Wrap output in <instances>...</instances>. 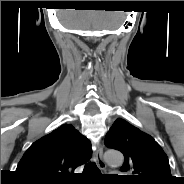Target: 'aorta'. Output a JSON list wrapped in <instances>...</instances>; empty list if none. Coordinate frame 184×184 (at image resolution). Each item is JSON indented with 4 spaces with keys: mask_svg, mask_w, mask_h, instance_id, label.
<instances>
[{
    "mask_svg": "<svg viewBox=\"0 0 184 184\" xmlns=\"http://www.w3.org/2000/svg\"><path fill=\"white\" fill-rule=\"evenodd\" d=\"M105 159L109 165L120 166L123 163V155L119 151L108 150L105 153Z\"/></svg>",
    "mask_w": 184,
    "mask_h": 184,
    "instance_id": "762f6f07",
    "label": "aorta"
}]
</instances>
